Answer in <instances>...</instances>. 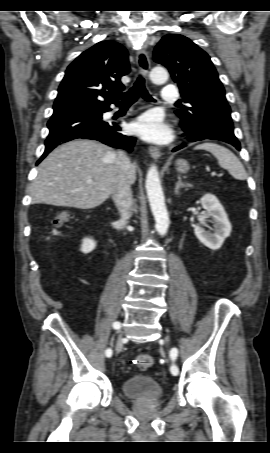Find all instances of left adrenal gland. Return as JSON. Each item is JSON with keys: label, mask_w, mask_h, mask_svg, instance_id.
I'll return each mask as SVG.
<instances>
[{"label": "left adrenal gland", "mask_w": 270, "mask_h": 453, "mask_svg": "<svg viewBox=\"0 0 270 453\" xmlns=\"http://www.w3.org/2000/svg\"><path fill=\"white\" fill-rule=\"evenodd\" d=\"M177 179H178V181H177L176 186H175V194L178 195V194H179V189H180V188H183V187L186 188L187 185H186L185 183L182 182L181 176H180V175L177 176Z\"/></svg>", "instance_id": "a2214340"}]
</instances>
